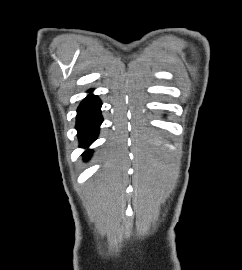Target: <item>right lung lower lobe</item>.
I'll list each match as a JSON object with an SVG mask.
<instances>
[{"mask_svg":"<svg viewBox=\"0 0 242 270\" xmlns=\"http://www.w3.org/2000/svg\"><path fill=\"white\" fill-rule=\"evenodd\" d=\"M101 105L102 103L97 96L89 95L78 107L76 129L81 147L90 145L98 136L99 127L103 121L100 111ZM84 155L88 159L91 151L85 152Z\"/></svg>","mask_w":242,"mask_h":270,"instance_id":"right-lung-lower-lobe-1","label":"right lung lower lobe"}]
</instances>
